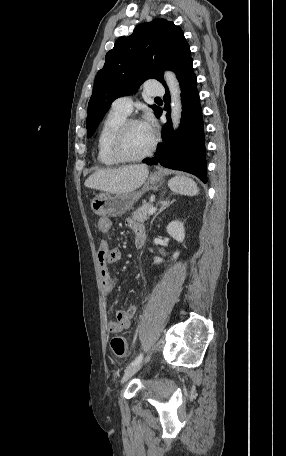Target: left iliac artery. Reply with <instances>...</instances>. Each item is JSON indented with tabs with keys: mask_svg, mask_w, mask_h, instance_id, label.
<instances>
[{
	"mask_svg": "<svg viewBox=\"0 0 286 456\" xmlns=\"http://www.w3.org/2000/svg\"><path fill=\"white\" fill-rule=\"evenodd\" d=\"M142 359H143V354L140 353V354L135 358V360H133V361L130 363V366L136 365V364L140 363V362L142 361Z\"/></svg>",
	"mask_w": 286,
	"mask_h": 456,
	"instance_id": "44dca946",
	"label": "left iliac artery"
}]
</instances>
